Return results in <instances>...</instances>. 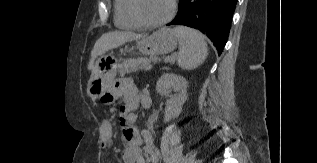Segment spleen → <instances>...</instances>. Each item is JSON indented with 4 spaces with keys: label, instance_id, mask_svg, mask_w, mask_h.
Returning a JSON list of instances; mask_svg holds the SVG:
<instances>
[{
    "label": "spleen",
    "instance_id": "1",
    "mask_svg": "<svg viewBox=\"0 0 317 163\" xmlns=\"http://www.w3.org/2000/svg\"><path fill=\"white\" fill-rule=\"evenodd\" d=\"M179 40L177 63L179 67L193 70L201 65L208 55L207 43L204 35L199 31L184 27H175Z\"/></svg>",
    "mask_w": 317,
    "mask_h": 163
}]
</instances>
